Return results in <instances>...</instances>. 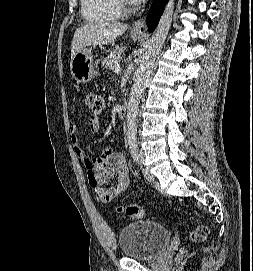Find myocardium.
<instances>
[{"label": "myocardium", "instance_id": "obj_1", "mask_svg": "<svg viewBox=\"0 0 253 271\" xmlns=\"http://www.w3.org/2000/svg\"><path fill=\"white\" fill-rule=\"evenodd\" d=\"M120 7L124 13L133 12L136 8V4L131 0H118Z\"/></svg>", "mask_w": 253, "mask_h": 271}]
</instances>
